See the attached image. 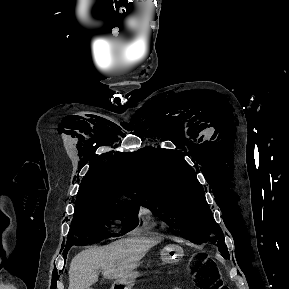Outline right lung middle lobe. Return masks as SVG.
Listing matches in <instances>:
<instances>
[{"label": "right lung middle lobe", "mask_w": 289, "mask_h": 289, "mask_svg": "<svg viewBox=\"0 0 289 289\" xmlns=\"http://www.w3.org/2000/svg\"><path fill=\"white\" fill-rule=\"evenodd\" d=\"M136 210H138L137 201L118 199L76 201L64 253H67L74 244H92L112 237L113 234L109 232L112 219L121 220L122 233L133 230L138 224Z\"/></svg>", "instance_id": "right-lung-middle-lobe-1"}]
</instances>
